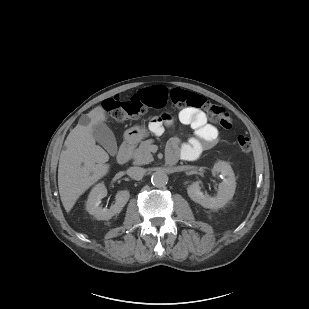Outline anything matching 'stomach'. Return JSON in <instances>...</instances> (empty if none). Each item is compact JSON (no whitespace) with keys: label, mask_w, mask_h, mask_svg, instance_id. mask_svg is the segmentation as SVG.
<instances>
[{"label":"stomach","mask_w":309,"mask_h":309,"mask_svg":"<svg viewBox=\"0 0 309 309\" xmlns=\"http://www.w3.org/2000/svg\"><path fill=\"white\" fill-rule=\"evenodd\" d=\"M148 136V131L145 127L134 126L127 129L124 133V137L128 141H141L143 138Z\"/></svg>","instance_id":"0dacf381"}]
</instances>
